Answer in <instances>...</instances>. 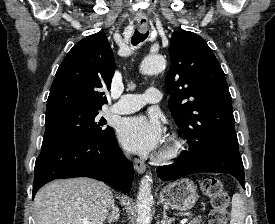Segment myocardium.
I'll return each mask as SVG.
<instances>
[{
	"label": "myocardium",
	"instance_id": "myocardium-1",
	"mask_svg": "<svg viewBox=\"0 0 275 224\" xmlns=\"http://www.w3.org/2000/svg\"><path fill=\"white\" fill-rule=\"evenodd\" d=\"M182 149L183 141L176 136H172L166 141L164 147L158 154V158L161 160L173 159L180 154Z\"/></svg>",
	"mask_w": 275,
	"mask_h": 224
}]
</instances>
